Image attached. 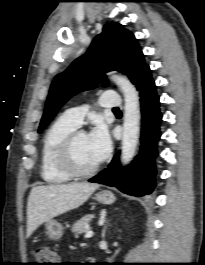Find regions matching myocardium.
I'll return each mask as SVG.
<instances>
[{
    "label": "myocardium",
    "mask_w": 205,
    "mask_h": 265,
    "mask_svg": "<svg viewBox=\"0 0 205 265\" xmlns=\"http://www.w3.org/2000/svg\"><path fill=\"white\" fill-rule=\"evenodd\" d=\"M81 135H86V132L84 130L75 129L69 133L62 143L58 155V161L61 168L68 175L74 178H86L92 176L99 170L100 167L99 163L89 169H80L76 166L73 157V148L75 141Z\"/></svg>",
    "instance_id": "f54148a6"
}]
</instances>
